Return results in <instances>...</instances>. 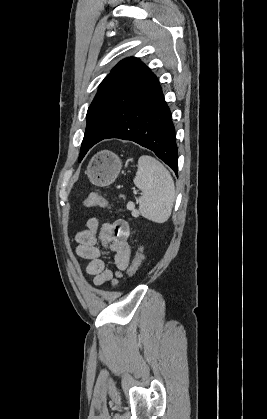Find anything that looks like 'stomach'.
I'll list each match as a JSON object with an SVG mask.
<instances>
[{
	"instance_id": "stomach-1",
	"label": "stomach",
	"mask_w": 267,
	"mask_h": 419,
	"mask_svg": "<svg viewBox=\"0 0 267 419\" xmlns=\"http://www.w3.org/2000/svg\"><path fill=\"white\" fill-rule=\"evenodd\" d=\"M121 168L122 162L115 153L102 150L91 158L86 174L94 185L107 186L116 180Z\"/></svg>"
}]
</instances>
